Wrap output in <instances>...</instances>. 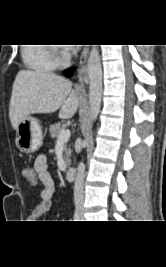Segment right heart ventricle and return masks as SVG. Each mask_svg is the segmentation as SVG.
I'll return each instance as SVG.
<instances>
[{
    "label": "right heart ventricle",
    "mask_w": 166,
    "mask_h": 267,
    "mask_svg": "<svg viewBox=\"0 0 166 267\" xmlns=\"http://www.w3.org/2000/svg\"><path fill=\"white\" fill-rule=\"evenodd\" d=\"M21 57L29 69L37 72H51L58 64L53 59L50 48L43 44H28L22 47Z\"/></svg>",
    "instance_id": "right-heart-ventricle-1"
}]
</instances>
